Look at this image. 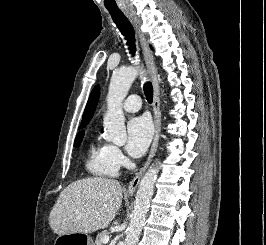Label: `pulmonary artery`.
Here are the masks:
<instances>
[{
	"label": "pulmonary artery",
	"instance_id": "obj_1",
	"mask_svg": "<svg viewBox=\"0 0 266 245\" xmlns=\"http://www.w3.org/2000/svg\"><path fill=\"white\" fill-rule=\"evenodd\" d=\"M141 100V96H126L125 102L122 104V108L127 112H137L141 108Z\"/></svg>",
	"mask_w": 266,
	"mask_h": 245
}]
</instances>
